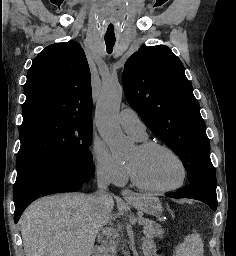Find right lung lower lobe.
I'll return each instance as SVG.
<instances>
[{
	"label": "right lung lower lobe",
	"mask_w": 236,
	"mask_h": 256,
	"mask_svg": "<svg viewBox=\"0 0 236 256\" xmlns=\"http://www.w3.org/2000/svg\"><path fill=\"white\" fill-rule=\"evenodd\" d=\"M93 173L92 164L61 161L38 164L17 175L13 187L15 223L25 208L37 198L54 193L75 192Z\"/></svg>",
	"instance_id": "1"
}]
</instances>
